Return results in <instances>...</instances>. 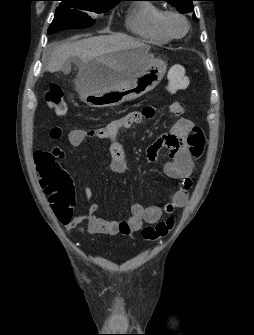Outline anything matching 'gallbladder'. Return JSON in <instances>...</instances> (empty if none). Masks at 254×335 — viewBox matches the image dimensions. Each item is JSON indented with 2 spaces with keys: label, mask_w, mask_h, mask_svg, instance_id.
I'll list each match as a JSON object with an SVG mask.
<instances>
[{
  "label": "gallbladder",
  "mask_w": 254,
  "mask_h": 335,
  "mask_svg": "<svg viewBox=\"0 0 254 335\" xmlns=\"http://www.w3.org/2000/svg\"><path fill=\"white\" fill-rule=\"evenodd\" d=\"M64 72L67 70V68L66 67H63V69H62Z\"/></svg>",
  "instance_id": "gallbladder-1"
}]
</instances>
